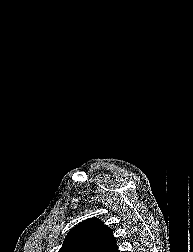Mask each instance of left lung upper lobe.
<instances>
[{
  "label": "left lung upper lobe",
  "instance_id": "left-lung-upper-lobe-1",
  "mask_svg": "<svg viewBox=\"0 0 193 252\" xmlns=\"http://www.w3.org/2000/svg\"><path fill=\"white\" fill-rule=\"evenodd\" d=\"M58 252H119L112 230L97 218L73 227Z\"/></svg>",
  "mask_w": 193,
  "mask_h": 252
}]
</instances>
